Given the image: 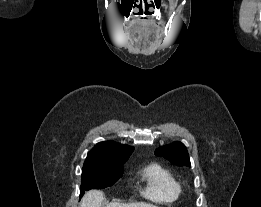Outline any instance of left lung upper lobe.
<instances>
[{
	"instance_id": "5c2ea615",
	"label": "left lung upper lobe",
	"mask_w": 261,
	"mask_h": 207,
	"mask_svg": "<svg viewBox=\"0 0 261 207\" xmlns=\"http://www.w3.org/2000/svg\"><path fill=\"white\" fill-rule=\"evenodd\" d=\"M155 155L162 156L179 166H191L185 145L178 141L159 147L156 149Z\"/></svg>"
}]
</instances>
